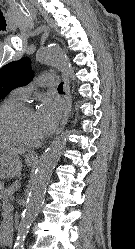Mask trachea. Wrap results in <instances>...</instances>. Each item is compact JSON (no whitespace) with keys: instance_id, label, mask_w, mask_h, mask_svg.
Returning <instances> with one entry per match:
<instances>
[{"instance_id":"3493384b","label":"trachea","mask_w":135,"mask_h":249,"mask_svg":"<svg viewBox=\"0 0 135 249\" xmlns=\"http://www.w3.org/2000/svg\"><path fill=\"white\" fill-rule=\"evenodd\" d=\"M58 90H59V91H63V83H60V84H59Z\"/></svg>"}]
</instances>
